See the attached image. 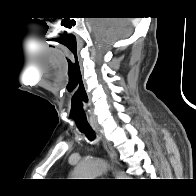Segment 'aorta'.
I'll return each instance as SVG.
<instances>
[{"label":"aorta","instance_id":"aorta-1","mask_svg":"<svg viewBox=\"0 0 196 196\" xmlns=\"http://www.w3.org/2000/svg\"><path fill=\"white\" fill-rule=\"evenodd\" d=\"M107 163L103 160H83L81 161L73 171L74 179H95L94 177H98L106 172ZM119 179H127L123 178L126 175L121 172L119 173Z\"/></svg>","mask_w":196,"mask_h":196}]
</instances>
